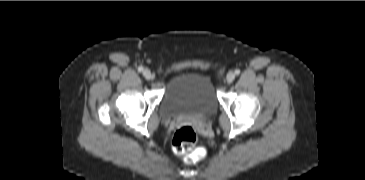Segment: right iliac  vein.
I'll return each instance as SVG.
<instances>
[{
    "label": "right iliac vein",
    "instance_id": "63e3f726",
    "mask_svg": "<svg viewBox=\"0 0 365 180\" xmlns=\"http://www.w3.org/2000/svg\"><path fill=\"white\" fill-rule=\"evenodd\" d=\"M143 76L147 79L150 80L152 78V73L149 69H144L143 70Z\"/></svg>",
    "mask_w": 365,
    "mask_h": 180
}]
</instances>
